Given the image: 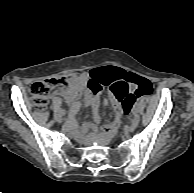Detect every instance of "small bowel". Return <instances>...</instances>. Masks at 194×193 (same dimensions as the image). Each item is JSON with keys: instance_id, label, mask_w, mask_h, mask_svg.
Masks as SVG:
<instances>
[{"instance_id": "c3829d8e", "label": "small bowel", "mask_w": 194, "mask_h": 193, "mask_svg": "<svg viewBox=\"0 0 194 193\" xmlns=\"http://www.w3.org/2000/svg\"><path fill=\"white\" fill-rule=\"evenodd\" d=\"M124 75H126V72L117 67H97L84 73L78 82V87L83 94L82 100L72 95V87L58 89L55 92V95L66 100L68 106L70 107V112L74 115L79 111L83 102L85 106L91 108L94 121L96 123H100V101L97 93H94L90 89V83L97 82L106 84ZM131 91L136 95L139 89L132 86ZM102 104L106 106L108 102L105 100ZM114 109L115 119L111 124L103 125L99 129L91 124H84L80 129H77L75 125H71V129L75 131L78 138H84L90 129H94L99 133V138L101 140L108 141L116 132L121 121L122 108L119 105H116Z\"/></svg>"}]
</instances>
